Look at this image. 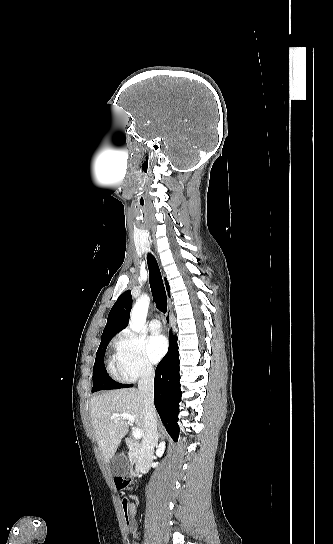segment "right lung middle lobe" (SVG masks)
<instances>
[{"label": "right lung middle lobe", "mask_w": 333, "mask_h": 544, "mask_svg": "<svg viewBox=\"0 0 333 544\" xmlns=\"http://www.w3.org/2000/svg\"><path fill=\"white\" fill-rule=\"evenodd\" d=\"M111 338L101 340L100 346L96 353V359L93 367V388L92 393L104 389H119L129 385L121 384L114 381L108 374L104 366V355L107 345Z\"/></svg>", "instance_id": "dd1d6c3e"}]
</instances>
